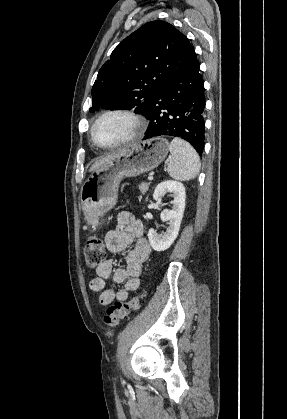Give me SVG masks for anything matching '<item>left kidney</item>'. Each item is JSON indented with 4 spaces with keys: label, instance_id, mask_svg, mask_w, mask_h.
<instances>
[{
    "label": "left kidney",
    "instance_id": "left-kidney-1",
    "mask_svg": "<svg viewBox=\"0 0 287 419\" xmlns=\"http://www.w3.org/2000/svg\"><path fill=\"white\" fill-rule=\"evenodd\" d=\"M171 193L173 207L164 210L160 217L168 222L169 227L164 234H158L153 228L148 232V239L152 248L157 251L167 250L177 238L185 209V187L181 182L167 180L158 184L153 193V199L158 201L165 194Z\"/></svg>",
    "mask_w": 287,
    "mask_h": 419
}]
</instances>
